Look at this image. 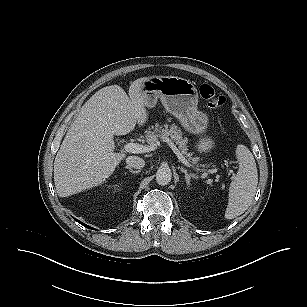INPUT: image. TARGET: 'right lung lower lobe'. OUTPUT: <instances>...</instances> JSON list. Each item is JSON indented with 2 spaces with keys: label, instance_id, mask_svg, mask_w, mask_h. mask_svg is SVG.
<instances>
[{
  "label": "right lung lower lobe",
  "instance_id": "98d812e1",
  "mask_svg": "<svg viewBox=\"0 0 307 307\" xmlns=\"http://www.w3.org/2000/svg\"><path fill=\"white\" fill-rule=\"evenodd\" d=\"M75 219V218H74ZM77 222H79L77 219H75ZM81 225H83V226H85V227H87V228H89V226H87L86 224H84V223H82V222H79Z\"/></svg>",
  "mask_w": 307,
  "mask_h": 307
}]
</instances>
